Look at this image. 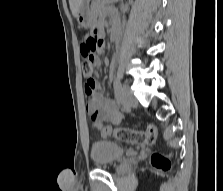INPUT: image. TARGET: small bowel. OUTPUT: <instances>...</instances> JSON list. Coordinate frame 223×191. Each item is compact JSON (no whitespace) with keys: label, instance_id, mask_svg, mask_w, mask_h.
Instances as JSON below:
<instances>
[{"label":"small bowel","instance_id":"small-bowel-1","mask_svg":"<svg viewBox=\"0 0 223 191\" xmlns=\"http://www.w3.org/2000/svg\"><path fill=\"white\" fill-rule=\"evenodd\" d=\"M93 34L99 39L103 38L104 31L101 23L95 25ZM92 83L94 87H91V85L86 82L84 91L89 98L86 104V111L91 115L93 124L98 128H101L104 121L114 125L119 124L123 119V114L119 110L117 103L110 100L106 95L98 92L99 84L95 80H92Z\"/></svg>","mask_w":223,"mask_h":191}]
</instances>
